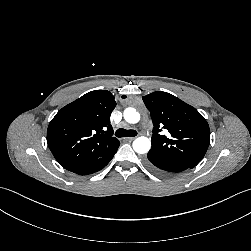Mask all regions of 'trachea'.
<instances>
[{"label":"trachea","instance_id":"3493384b","mask_svg":"<svg viewBox=\"0 0 251 251\" xmlns=\"http://www.w3.org/2000/svg\"><path fill=\"white\" fill-rule=\"evenodd\" d=\"M137 135V132L135 130H127V129H123V128H119L116 132H115V136L116 137H134Z\"/></svg>","mask_w":251,"mask_h":251}]
</instances>
